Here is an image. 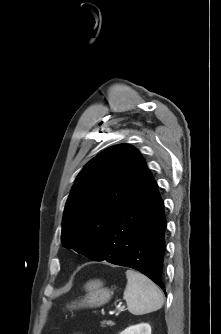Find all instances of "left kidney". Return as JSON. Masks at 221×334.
Here are the masks:
<instances>
[{"mask_svg":"<svg viewBox=\"0 0 221 334\" xmlns=\"http://www.w3.org/2000/svg\"><path fill=\"white\" fill-rule=\"evenodd\" d=\"M120 334H151V327L148 323H141L128 327Z\"/></svg>","mask_w":221,"mask_h":334,"instance_id":"left-kidney-1","label":"left kidney"}]
</instances>
